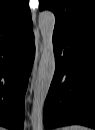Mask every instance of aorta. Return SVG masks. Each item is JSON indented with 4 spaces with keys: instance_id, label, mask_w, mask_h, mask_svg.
<instances>
[{
    "instance_id": "762f6f07",
    "label": "aorta",
    "mask_w": 95,
    "mask_h": 130,
    "mask_svg": "<svg viewBox=\"0 0 95 130\" xmlns=\"http://www.w3.org/2000/svg\"><path fill=\"white\" fill-rule=\"evenodd\" d=\"M54 26V14L51 11H42L39 14V29L42 36V53L34 87L31 113V125L33 130L43 129L44 102L55 72V56L53 50Z\"/></svg>"
}]
</instances>
